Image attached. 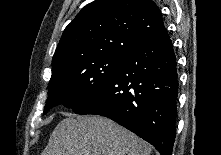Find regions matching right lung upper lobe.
Segmentation results:
<instances>
[{
  "instance_id": "obj_1",
  "label": "right lung upper lobe",
  "mask_w": 221,
  "mask_h": 155,
  "mask_svg": "<svg viewBox=\"0 0 221 155\" xmlns=\"http://www.w3.org/2000/svg\"><path fill=\"white\" fill-rule=\"evenodd\" d=\"M165 26L152 0H96L65 28L52 59V74L81 59L126 55Z\"/></svg>"
}]
</instances>
